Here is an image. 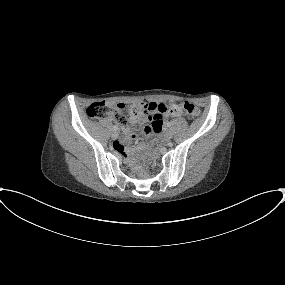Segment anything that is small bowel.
<instances>
[{
    "label": "small bowel",
    "instance_id": "1",
    "mask_svg": "<svg viewBox=\"0 0 285 285\" xmlns=\"http://www.w3.org/2000/svg\"><path fill=\"white\" fill-rule=\"evenodd\" d=\"M142 104L147 107V114L131 117L129 125L123 128L124 138L115 144V149L122 155H126L129 145L138 137V133L134 131L135 126L145 125L143 133L146 136H150L153 132H157L162 128L166 105L153 101ZM178 117H180V114Z\"/></svg>",
    "mask_w": 285,
    "mask_h": 285
}]
</instances>
